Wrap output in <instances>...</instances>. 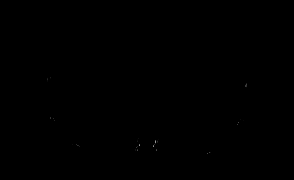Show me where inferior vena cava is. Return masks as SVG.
I'll return each instance as SVG.
<instances>
[{"label":"inferior vena cava","mask_w":294,"mask_h":180,"mask_svg":"<svg viewBox=\"0 0 294 180\" xmlns=\"http://www.w3.org/2000/svg\"><path fill=\"white\" fill-rule=\"evenodd\" d=\"M137 85L139 86V82H136V83L134 82V83L131 84V87L134 88V89H136V86H137ZM140 85H141V84H140ZM138 86H137V90H138ZM143 87H144V85H143V86L141 85V86L139 87V90H140V89H143Z\"/></svg>","instance_id":"obj_1"}]
</instances>
